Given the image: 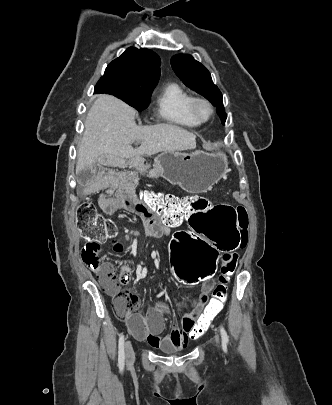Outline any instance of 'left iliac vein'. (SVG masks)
<instances>
[{
  "mask_svg": "<svg viewBox=\"0 0 332 405\" xmlns=\"http://www.w3.org/2000/svg\"><path fill=\"white\" fill-rule=\"evenodd\" d=\"M215 343H216V345L219 347V345H220V338H219V336L216 334L215 335Z\"/></svg>",
  "mask_w": 332,
  "mask_h": 405,
  "instance_id": "1",
  "label": "left iliac vein"
}]
</instances>
